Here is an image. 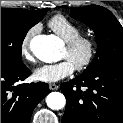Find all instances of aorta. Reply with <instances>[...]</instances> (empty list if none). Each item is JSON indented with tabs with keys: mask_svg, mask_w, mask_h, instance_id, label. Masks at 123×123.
<instances>
[{
	"mask_svg": "<svg viewBox=\"0 0 123 123\" xmlns=\"http://www.w3.org/2000/svg\"><path fill=\"white\" fill-rule=\"evenodd\" d=\"M60 45L56 37L51 35H37L30 41V49L41 61L52 63L57 60ZM47 106L53 110L62 109L66 104L64 95L60 92H51L46 97Z\"/></svg>",
	"mask_w": 123,
	"mask_h": 123,
	"instance_id": "762f6f07",
	"label": "aorta"
}]
</instances>
